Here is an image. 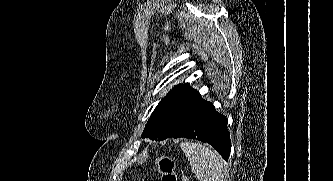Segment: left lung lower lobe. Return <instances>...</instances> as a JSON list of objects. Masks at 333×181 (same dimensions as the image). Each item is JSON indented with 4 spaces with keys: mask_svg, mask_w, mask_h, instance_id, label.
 I'll use <instances>...</instances> for the list:
<instances>
[{
    "mask_svg": "<svg viewBox=\"0 0 333 181\" xmlns=\"http://www.w3.org/2000/svg\"><path fill=\"white\" fill-rule=\"evenodd\" d=\"M196 139L212 145L220 155L228 160L231 151L230 134L227 129V118L208 103L194 118L173 138ZM151 140L161 141L156 135Z\"/></svg>",
    "mask_w": 333,
    "mask_h": 181,
    "instance_id": "obj_1",
    "label": "left lung lower lobe"
}]
</instances>
